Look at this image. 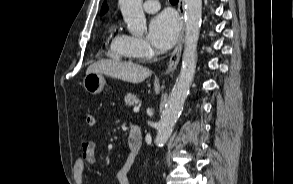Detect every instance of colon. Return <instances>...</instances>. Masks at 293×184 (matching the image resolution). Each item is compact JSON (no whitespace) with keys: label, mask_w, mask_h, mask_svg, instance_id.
Returning <instances> with one entry per match:
<instances>
[{"label":"colon","mask_w":293,"mask_h":184,"mask_svg":"<svg viewBox=\"0 0 293 184\" xmlns=\"http://www.w3.org/2000/svg\"><path fill=\"white\" fill-rule=\"evenodd\" d=\"M96 123V119H95V116L92 114V113H88L86 115V124L89 126V127H93Z\"/></svg>","instance_id":"5ec220e1"}]
</instances>
